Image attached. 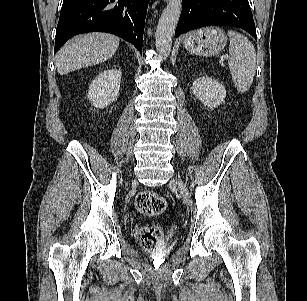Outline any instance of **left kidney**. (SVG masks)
I'll list each match as a JSON object with an SVG mask.
<instances>
[{
	"label": "left kidney",
	"instance_id": "1",
	"mask_svg": "<svg viewBox=\"0 0 307 301\" xmlns=\"http://www.w3.org/2000/svg\"><path fill=\"white\" fill-rule=\"evenodd\" d=\"M192 93L208 108L217 107L226 97L225 87L208 76L199 77L193 82Z\"/></svg>",
	"mask_w": 307,
	"mask_h": 301
}]
</instances>
